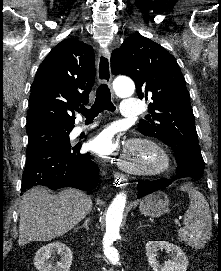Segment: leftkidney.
<instances>
[{"label":"left kidney","instance_id":"1","mask_svg":"<svg viewBox=\"0 0 221 271\" xmlns=\"http://www.w3.org/2000/svg\"><path fill=\"white\" fill-rule=\"evenodd\" d=\"M145 247L149 265L153 271H186L189 263L188 257L179 245L170 243V241H147ZM159 249H166V253L171 259L159 263L157 259Z\"/></svg>","mask_w":221,"mask_h":271}]
</instances>
